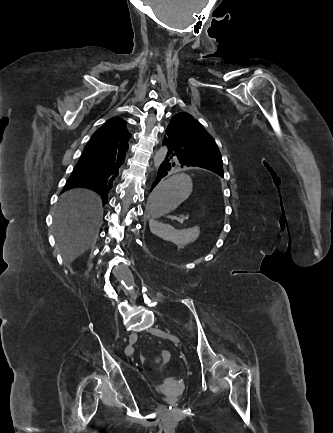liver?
<instances>
[{
	"label": "liver",
	"mask_w": 333,
	"mask_h": 433,
	"mask_svg": "<svg viewBox=\"0 0 333 433\" xmlns=\"http://www.w3.org/2000/svg\"><path fill=\"white\" fill-rule=\"evenodd\" d=\"M102 215L101 197L92 190L76 188L62 194L55 212L54 233L65 261L73 262L94 245Z\"/></svg>",
	"instance_id": "6515ba94"
}]
</instances>
